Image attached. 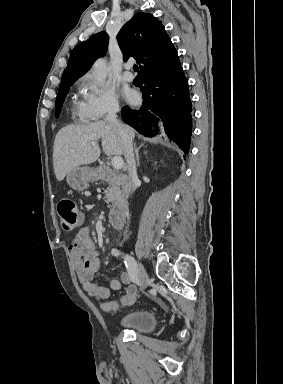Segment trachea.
I'll use <instances>...</instances> for the list:
<instances>
[{
  "label": "trachea",
  "mask_w": 283,
  "mask_h": 384,
  "mask_svg": "<svg viewBox=\"0 0 283 384\" xmlns=\"http://www.w3.org/2000/svg\"><path fill=\"white\" fill-rule=\"evenodd\" d=\"M133 70H134L135 72H137V70H138V66H137V65H134V66H133Z\"/></svg>",
  "instance_id": "trachea-1"
}]
</instances>
